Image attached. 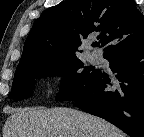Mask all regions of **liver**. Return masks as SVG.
<instances>
[{"label": "liver", "instance_id": "liver-1", "mask_svg": "<svg viewBox=\"0 0 144 137\" xmlns=\"http://www.w3.org/2000/svg\"><path fill=\"white\" fill-rule=\"evenodd\" d=\"M3 137H126L102 118L66 107L14 109Z\"/></svg>", "mask_w": 144, "mask_h": 137}]
</instances>
